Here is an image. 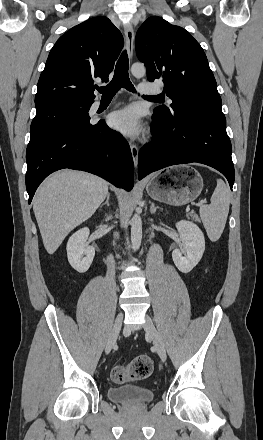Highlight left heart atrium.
<instances>
[{"mask_svg":"<svg viewBox=\"0 0 263 440\" xmlns=\"http://www.w3.org/2000/svg\"><path fill=\"white\" fill-rule=\"evenodd\" d=\"M109 124L126 136H136L142 129L141 112L136 106L126 107L112 113Z\"/></svg>","mask_w":263,"mask_h":440,"instance_id":"obj_1","label":"left heart atrium"}]
</instances>
